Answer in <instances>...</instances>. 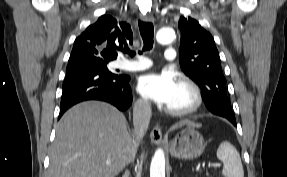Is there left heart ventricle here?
Returning a JSON list of instances; mask_svg holds the SVG:
<instances>
[{
	"label": "left heart ventricle",
	"mask_w": 287,
	"mask_h": 177,
	"mask_svg": "<svg viewBox=\"0 0 287 177\" xmlns=\"http://www.w3.org/2000/svg\"><path fill=\"white\" fill-rule=\"evenodd\" d=\"M189 103V95L186 90L178 85L173 97L169 101V107H180Z\"/></svg>",
	"instance_id": "left-heart-ventricle-1"
}]
</instances>
